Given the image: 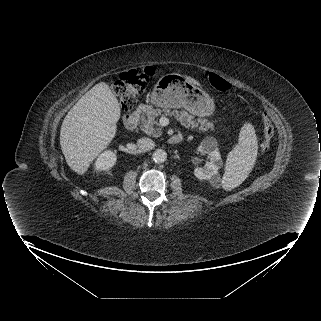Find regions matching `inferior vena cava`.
Returning a JSON list of instances; mask_svg holds the SVG:
<instances>
[{"instance_id":"inferior-vena-cava-1","label":"inferior vena cava","mask_w":321,"mask_h":321,"mask_svg":"<svg viewBox=\"0 0 321 321\" xmlns=\"http://www.w3.org/2000/svg\"><path fill=\"white\" fill-rule=\"evenodd\" d=\"M137 146L142 151H149L154 148L155 143L152 139L144 137L137 141Z\"/></svg>"}]
</instances>
